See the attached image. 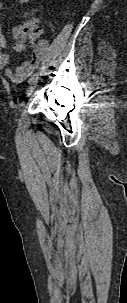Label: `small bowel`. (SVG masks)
<instances>
[{"instance_id": "obj_1", "label": "small bowel", "mask_w": 127, "mask_h": 303, "mask_svg": "<svg viewBox=\"0 0 127 303\" xmlns=\"http://www.w3.org/2000/svg\"><path fill=\"white\" fill-rule=\"evenodd\" d=\"M18 5H24L29 2V0H16ZM3 8L2 1L0 0V11ZM13 36L15 38L14 50L17 52H22L26 48L25 40L22 34V27L17 26L13 30ZM7 47V40L5 38L4 32L0 24V69H4L5 77L15 84L23 83L38 67L43 57L48 49L47 40H41L38 44L34 46L32 57L22 64H20L15 69L9 68L10 56L3 50Z\"/></svg>"}]
</instances>
